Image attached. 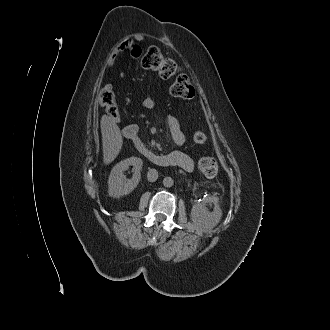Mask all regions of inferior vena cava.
<instances>
[{
  "label": "inferior vena cava",
  "instance_id": "1",
  "mask_svg": "<svg viewBox=\"0 0 330 330\" xmlns=\"http://www.w3.org/2000/svg\"><path fill=\"white\" fill-rule=\"evenodd\" d=\"M158 178V172L156 169H150L147 173V179L150 182L156 181Z\"/></svg>",
  "mask_w": 330,
  "mask_h": 330
}]
</instances>
